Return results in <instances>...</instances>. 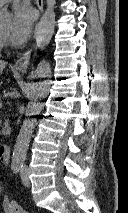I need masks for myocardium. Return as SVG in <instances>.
I'll return each instance as SVG.
<instances>
[{
  "mask_svg": "<svg viewBox=\"0 0 128 213\" xmlns=\"http://www.w3.org/2000/svg\"><path fill=\"white\" fill-rule=\"evenodd\" d=\"M0 36H1V38L4 39V40H7V39H8V35L5 34V33H3V32H0Z\"/></svg>",
  "mask_w": 128,
  "mask_h": 213,
  "instance_id": "f54148a6",
  "label": "myocardium"
}]
</instances>
